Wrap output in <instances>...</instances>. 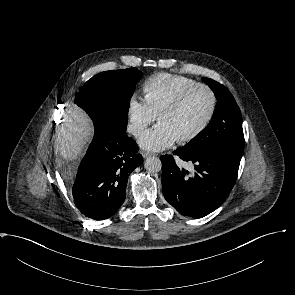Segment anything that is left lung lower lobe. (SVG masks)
I'll return each instance as SVG.
<instances>
[{"mask_svg":"<svg viewBox=\"0 0 295 295\" xmlns=\"http://www.w3.org/2000/svg\"><path fill=\"white\" fill-rule=\"evenodd\" d=\"M194 164L195 173L179 168L170 155L161 156L162 190L165 199L180 214L202 218L217 209L230 194L240 159L220 151L174 152Z\"/></svg>","mask_w":295,"mask_h":295,"instance_id":"left-lung-lower-lobe-1","label":"left lung lower lobe"}]
</instances>
